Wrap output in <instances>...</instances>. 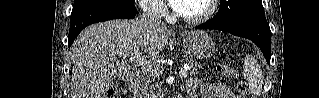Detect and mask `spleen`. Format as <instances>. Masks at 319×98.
Segmentation results:
<instances>
[{
    "label": "spleen",
    "mask_w": 319,
    "mask_h": 98,
    "mask_svg": "<svg viewBox=\"0 0 319 98\" xmlns=\"http://www.w3.org/2000/svg\"><path fill=\"white\" fill-rule=\"evenodd\" d=\"M243 74L246 78L249 90L253 96H260L263 85V74L261 67L252 55H246L243 67Z\"/></svg>",
    "instance_id": "obj_1"
}]
</instances>
